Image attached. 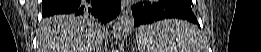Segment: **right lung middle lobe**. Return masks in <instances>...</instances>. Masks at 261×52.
I'll return each instance as SVG.
<instances>
[{
  "mask_svg": "<svg viewBox=\"0 0 261 52\" xmlns=\"http://www.w3.org/2000/svg\"><path fill=\"white\" fill-rule=\"evenodd\" d=\"M73 16H74V17H78L79 19L84 20V21H90V22H92V23L95 25L96 28H102V24H100L99 22H97L96 20H94V19H92V18H90V17L75 16V15H73ZM65 20H66V18H65ZM67 20H68V18H67Z\"/></svg>",
  "mask_w": 261,
  "mask_h": 52,
  "instance_id": "obj_1",
  "label": "right lung middle lobe"
}]
</instances>
